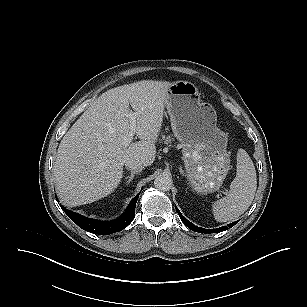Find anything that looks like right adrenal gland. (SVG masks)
Returning <instances> with one entry per match:
<instances>
[{"label": "right adrenal gland", "mask_w": 307, "mask_h": 307, "mask_svg": "<svg viewBox=\"0 0 307 307\" xmlns=\"http://www.w3.org/2000/svg\"><path fill=\"white\" fill-rule=\"evenodd\" d=\"M135 174H138V172L132 171L130 176L125 177V179H127V181H126L127 184H129L133 180Z\"/></svg>", "instance_id": "1"}]
</instances>
